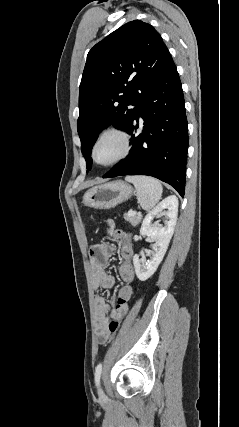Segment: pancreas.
Returning a JSON list of instances; mask_svg holds the SVG:
<instances>
[{
    "label": "pancreas",
    "instance_id": "pancreas-1",
    "mask_svg": "<svg viewBox=\"0 0 239 427\" xmlns=\"http://www.w3.org/2000/svg\"><path fill=\"white\" fill-rule=\"evenodd\" d=\"M124 219L130 222L133 226L138 225L141 222V215L129 216L128 214H124Z\"/></svg>",
    "mask_w": 239,
    "mask_h": 427
}]
</instances>
